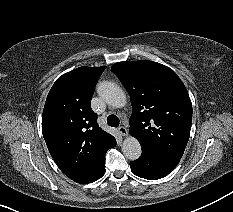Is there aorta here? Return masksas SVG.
<instances>
[{
	"label": "aorta",
	"instance_id": "aorta-1",
	"mask_svg": "<svg viewBox=\"0 0 233 212\" xmlns=\"http://www.w3.org/2000/svg\"><path fill=\"white\" fill-rule=\"evenodd\" d=\"M97 92L99 96L112 107L120 108L126 104V95L120 86L114 82L103 81L99 83ZM122 152L126 158L136 160L141 155V145L135 137L129 136L123 141Z\"/></svg>",
	"mask_w": 233,
	"mask_h": 212
}]
</instances>
